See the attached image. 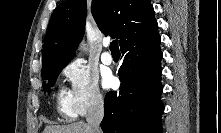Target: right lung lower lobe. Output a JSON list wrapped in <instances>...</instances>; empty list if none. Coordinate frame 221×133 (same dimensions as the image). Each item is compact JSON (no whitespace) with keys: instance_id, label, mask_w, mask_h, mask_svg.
Masks as SVG:
<instances>
[{"instance_id":"obj_1","label":"right lung lower lobe","mask_w":221,"mask_h":133,"mask_svg":"<svg viewBox=\"0 0 221 133\" xmlns=\"http://www.w3.org/2000/svg\"><path fill=\"white\" fill-rule=\"evenodd\" d=\"M158 32L138 37L121 46L123 56L118 91H110L104 101L101 122L104 133H161V59Z\"/></svg>"}]
</instances>
